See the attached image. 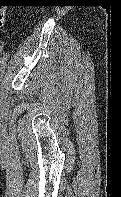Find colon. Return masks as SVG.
Here are the masks:
<instances>
[{
	"instance_id": "1",
	"label": "colon",
	"mask_w": 121,
	"mask_h": 197,
	"mask_svg": "<svg viewBox=\"0 0 121 197\" xmlns=\"http://www.w3.org/2000/svg\"><path fill=\"white\" fill-rule=\"evenodd\" d=\"M6 23V9L0 4V30L4 27Z\"/></svg>"
}]
</instances>
